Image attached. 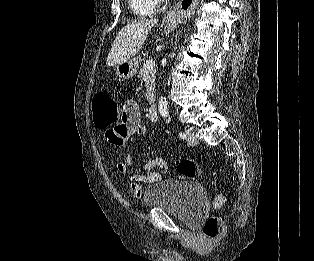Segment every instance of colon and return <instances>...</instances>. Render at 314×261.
<instances>
[{
  "mask_svg": "<svg viewBox=\"0 0 314 261\" xmlns=\"http://www.w3.org/2000/svg\"><path fill=\"white\" fill-rule=\"evenodd\" d=\"M92 107L93 121L97 128L109 129L110 126L118 123L120 118L119 106L106 92H98L94 95ZM176 167L179 175L183 178L195 179L199 175V165L193 159H181L176 162ZM225 200L223 195H218L214 206L216 208L221 207ZM221 228V220L216 216H212L205 221L202 233L207 239L213 240L218 237Z\"/></svg>",
  "mask_w": 314,
  "mask_h": 261,
  "instance_id": "colon-1",
  "label": "colon"
}]
</instances>
